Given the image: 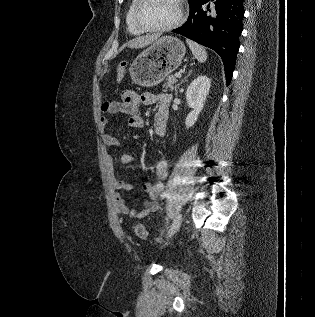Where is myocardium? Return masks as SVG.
Here are the masks:
<instances>
[{
    "label": "myocardium",
    "instance_id": "myocardium-1",
    "mask_svg": "<svg viewBox=\"0 0 315 317\" xmlns=\"http://www.w3.org/2000/svg\"><path fill=\"white\" fill-rule=\"evenodd\" d=\"M144 1L145 0H136L135 6L133 9V15H132L134 25L142 32L170 31V30L175 29L178 26H180L185 20L186 12H185V6L183 3V0H177L179 12H178L177 18L173 22H171L167 25L158 26V27L145 26L139 20V9L142 6V4L144 3Z\"/></svg>",
    "mask_w": 315,
    "mask_h": 317
}]
</instances>
